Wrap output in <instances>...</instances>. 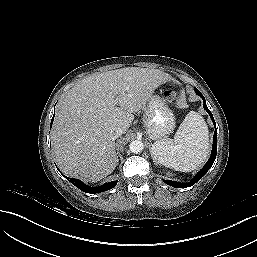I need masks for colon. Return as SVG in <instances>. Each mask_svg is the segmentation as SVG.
Wrapping results in <instances>:
<instances>
[{"mask_svg": "<svg viewBox=\"0 0 257 257\" xmlns=\"http://www.w3.org/2000/svg\"><path fill=\"white\" fill-rule=\"evenodd\" d=\"M168 94H169L170 96L175 95V90H173L172 88H169Z\"/></svg>", "mask_w": 257, "mask_h": 257, "instance_id": "1", "label": "colon"}]
</instances>
